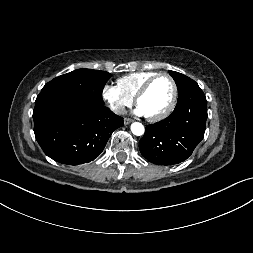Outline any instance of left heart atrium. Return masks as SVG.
Returning <instances> with one entry per match:
<instances>
[{
  "label": "left heart atrium",
  "mask_w": 253,
  "mask_h": 253,
  "mask_svg": "<svg viewBox=\"0 0 253 253\" xmlns=\"http://www.w3.org/2000/svg\"><path fill=\"white\" fill-rule=\"evenodd\" d=\"M135 113L137 115L145 116L144 112L139 107H137V109L135 110Z\"/></svg>",
  "instance_id": "left-heart-atrium-1"
}]
</instances>
